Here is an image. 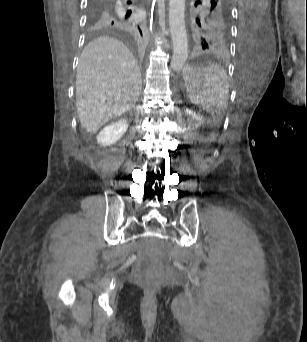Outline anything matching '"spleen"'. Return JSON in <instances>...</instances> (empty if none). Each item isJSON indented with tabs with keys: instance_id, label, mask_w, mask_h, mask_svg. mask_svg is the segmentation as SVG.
<instances>
[{
	"instance_id": "spleen-1",
	"label": "spleen",
	"mask_w": 307,
	"mask_h": 342,
	"mask_svg": "<svg viewBox=\"0 0 307 342\" xmlns=\"http://www.w3.org/2000/svg\"><path fill=\"white\" fill-rule=\"evenodd\" d=\"M196 71H199L197 76ZM184 76L185 90H189V100L194 104H201L206 114H223L224 110H227L229 82L222 66L209 64L207 68H203L189 63L185 66Z\"/></svg>"
}]
</instances>
